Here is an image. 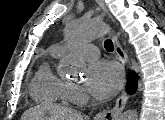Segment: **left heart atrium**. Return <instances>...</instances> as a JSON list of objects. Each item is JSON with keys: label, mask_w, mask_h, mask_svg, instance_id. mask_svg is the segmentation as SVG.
<instances>
[{"label": "left heart atrium", "mask_w": 165, "mask_h": 120, "mask_svg": "<svg viewBox=\"0 0 165 120\" xmlns=\"http://www.w3.org/2000/svg\"><path fill=\"white\" fill-rule=\"evenodd\" d=\"M122 80V72L113 62L96 61L89 67L88 88L97 97L107 98L114 95Z\"/></svg>", "instance_id": "left-heart-atrium-1"}]
</instances>
